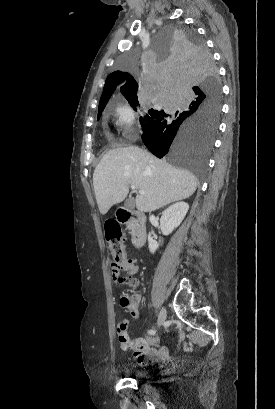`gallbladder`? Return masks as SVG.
I'll list each match as a JSON object with an SVG mask.
<instances>
[{
  "instance_id": "obj_1",
  "label": "gallbladder",
  "mask_w": 275,
  "mask_h": 409,
  "mask_svg": "<svg viewBox=\"0 0 275 409\" xmlns=\"http://www.w3.org/2000/svg\"><path fill=\"white\" fill-rule=\"evenodd\" d=\"M124 207H125V209H129V211H131V209H134L132 198H127V200H125Z\"/></svg>"
}]
</instances>
